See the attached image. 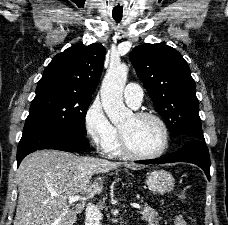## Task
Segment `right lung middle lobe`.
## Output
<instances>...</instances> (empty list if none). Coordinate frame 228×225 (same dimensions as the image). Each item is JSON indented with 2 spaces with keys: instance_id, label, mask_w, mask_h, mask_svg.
I'll list each match as a JSON object with an SVG mask.
<instances>
[{
  "instance_id": "obj_1",
  "label": "right lung middle lobe",
  "mask_w": 228,
  "mask_h": 225,
  "mask_svg": "<svg viewBox=\"0 0 228 225\" xmlns=\"http://www.w3.org/2000/svg\"><path fill=\"white\" fill-rule=\"evenodd\" d=\"M91 100V95L62 86H37L24 127L59 125L86 135L85 116Z\"/></svg>"
}]
</instances>
